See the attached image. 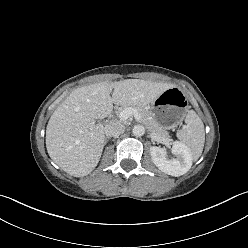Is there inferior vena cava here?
I'll use <instances>...</instances> for the list:
<instances>
[{
    "label": "inferior vena cava",
    "instance_id": "602c4592",
    "mask_svg": "<svg viewBox=\"0 0 248 248\" xmlns=\"http://www.w3.org/2000/svg\"><path fill=\"white\" fill-rule=\"evenodd\" d=\"M125 127L118 122H111L104 127V133L108 137L117 136L124 133Z\"/></svg>",
    "mask_w": 248,
    "mask_h": 248
}]
</instances>
